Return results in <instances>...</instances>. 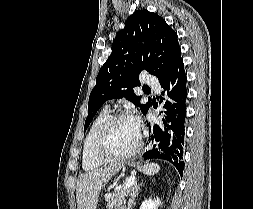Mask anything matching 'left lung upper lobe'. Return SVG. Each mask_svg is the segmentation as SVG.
I'll return each instance as SVG.
<instances>
[{
	"instance_id": "left-lung-upper-lobe-1",
	"label": "left lung upper lobe",
	"mask_w": 253,
	"mask_h": 209,
	"mask_svg": "<svg viewBox=\"0 0 253 209\" xmlns=\"http://www.w3.org/2000/svg\"><path fill=\"white\" fill-rule=\"evenodd\" d=\"M180 53L178 36L162 17L147 10H138L129 16L97 75L89 97L84 131L107 100L126 97L146 114L152 105L151 98L146 105L140 104V97L133 91L141 85L139 73L147 70L160 81L181 60Z\"/></svg>"
}]
</instances>
